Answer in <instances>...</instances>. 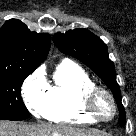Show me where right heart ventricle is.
<instances>
[{"label": "right heart ventricle", "instance_id": "right-heart-ventricle-1", "mask_svg": "<svg viewBox=\"0 0 136 136\" xmlns=\"http://www.w3.org/2000/svg\"><path fill=\"white\" fill-rule=\"evenodd\" d=\"M95 86L80 66L68 60L61 62L54 72L53 83L48 86L49 102L43 117L55 123H96L82 103L84 93Z\"/></svg>", "mask_w": 136, "mask_h": 136}]
</instances>
